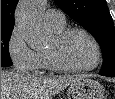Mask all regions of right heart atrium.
<instances>
[{
  "instance_id": "right-heart-atrium-1",
  "label": "right heart atrium",
  "mask_w": 115,
  "mask_h": 99,
  "mask_svg": "<svg viewBox=\"0 0 115 99\" xmlns=\"http://www.w3.org/2000/svg\"><path fill=\"white\" fill-rule=\"evenodd\" d=\"M7 51L14 66L22 72H31L38 68V52L31 49L18 27L12 30L8 42Z\"/></svg>"
}]
</instances>
